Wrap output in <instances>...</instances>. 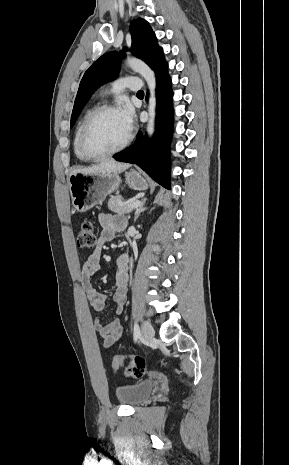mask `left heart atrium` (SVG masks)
Wrapping results in <instances>:
<instances>
[{
    "mask_svg": "<svg viewBox=\"0 0 289 465\" xmlns=\"http://www.w3.org/2000/svg\"><path fill=\"white\" fill-rule=\"evenodd\" d=\"M118 112L123 121V124L128 131L131 132L134 125V110L129 103H124L119 109Z\"/></svg>",
    "mask_w": 289,
    "mask_h": 465,
    "instance_id": "1",
    "label": "left heart atrium"
}]
</instances>
